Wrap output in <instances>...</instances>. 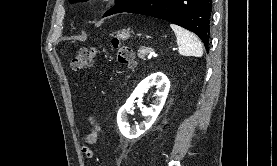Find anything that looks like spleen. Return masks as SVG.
<instances>
[{
  "mask_svg": "<svg viewBox=\"0 0 277 166\" xmlns=\"http://www.w3.org/2000/svg\"><path fill=\"white\" fill-rule=\"evenodd\" d=\"M174 31L179 53L183 56L201 57L203 55V47L199 39L191 32L175 25L170 24Z\"/></svg>",
  "mask_w": 277,
  "mask_h": 166,
  "instance_id": "3e777b00",
  "label": "spleen"
}]
</instances>
